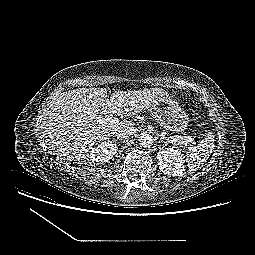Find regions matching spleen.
<instances>
[{"instance_id":"spleen-1","label":"spleen","mask_w":255,"mask_h":255,"mask_svg":"<svg viewBox=\"0 0 255 255\" xmlns=\"http://www.w3.org/2000/svg\"><path fill=\"white\" fill-rule=\"evenodd\" d=\"M214 135L208 132L206 137L201 142L189 149L187 152V162L192 171H196L206 160L214 149Z\"/></svg>"}]
</instances>
